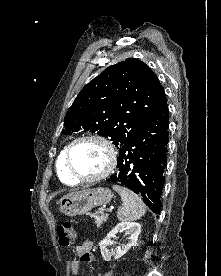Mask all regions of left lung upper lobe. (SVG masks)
Returning a JSON list of instances; mask_svg holds the SVG:
<instances>
[{
  "mask_svg": "<svg viewBox=\"0 0 221 276\" xmlns=\"http://www.w3.org/2000/svg\"><path fill=\"white\" fill-rule=\"evenodd\" d=\"M166 104L151 69L127 58L106 68L80 91L65 116L63 133L97 132L120 150Z\"/></svg>",
  "mask_w": 221,
  "mask_h": 276,
  "instance_id": "5c2ea615",
  "label": "left lung upper lobe"
}]
</instances>
